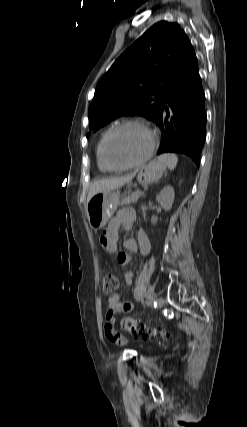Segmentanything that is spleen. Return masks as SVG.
<instances>
[{
  "label": "spleen",
  "mask_w": 247,
  "mask_h": 427,
  "mask_svg": "<svg viewBox=\"0 0 247 427\" xmlns=\"http://www.w3.org/2000/svg\"><path fill=\"white\" fill-rule=\"evenodd\" d=\"M157 161L167 166L170 170H174L178 162V157L173 153H165L160 155Z\"/></svg>",
  "instance_id": "spleen-1"
}]
</instances>
